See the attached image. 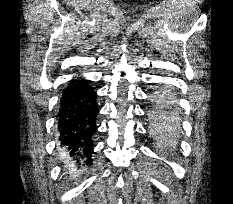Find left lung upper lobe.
Masks as SVG:
<instances>
[{"label":"left lung upper lobe","instance_id":"5c2ea615","mask_svg":"<svg viewBox=\"0 0 233 204\" xmlns=\"http://www.w3.org/2000/svg\"><path fill=\"white\" fill-rule=\"evenodd\" d=\"M162 101L166 104V105H172L173 102H172V97L170 95H166L164 94L162 96ZM155 115L170 123V124H176V122L178 121V115H177V112L174 110V108H167V109H157L154 111Z\"/></svg>","mask_w":233,"mask_h":204}]
</instances>
